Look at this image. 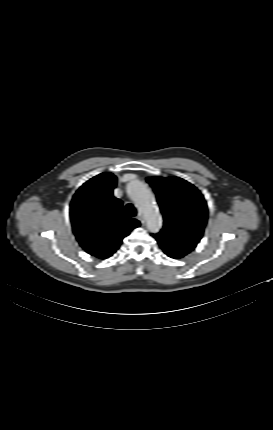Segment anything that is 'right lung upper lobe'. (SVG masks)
Here are the masks:
<instances>
[{"mask_svg": "<svg viewBox=\"0 0 273 430\" xmlns=\"http://www.w3.org/2000/svg\"><path fill=\"white\" fill-rule=\"evenodd\" d=\"M116 177L101 173L85 182L70 205L73 232L89 254L105 259L119 248L122 239L140 222L123 216L122 202L113 196Z\"/></svg>", "mask_w": 273, "mask_h": 430, "instance_id": "1", "label": "right lung upper lobe"}]
</instances>
